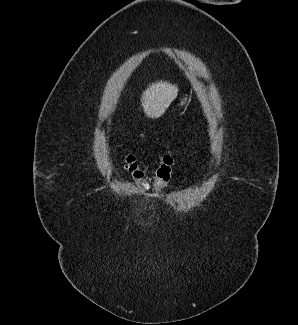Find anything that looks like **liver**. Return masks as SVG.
<instances>
[{
    "instance_id": "liver-1",
    "label": "liver",
    "mask_w": 298,
    "mask_h": 325,
    "mask_svg": "<svg viewBox=\"0 0 298 325\" xmlns=\"http://www.w3.org/2000/svg\"><path fill=\"white\" fill-rule=\"evenodd\" d=\"M179 94L178 84H172L170 80H156L150 82L141 94V106L143 112L149 118H159L175 100Z\"/></svg>"
}]
</instances>
